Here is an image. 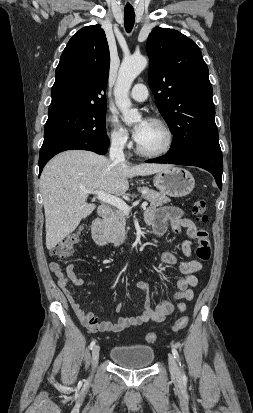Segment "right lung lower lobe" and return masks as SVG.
<instances>
[{"label":"right lung lower lobe","instance_id":"obj_1","mask_svg":"<svg viewBox=\"0 0 253 413\" xmlns=\"http://www.w3.org/2000/svg\"><path fill=\"white\" fill-rule=\"evenodd\" d=\"M109 139H100L93 141H81V140H65L59 141L48 146H44L40 150L39 155V174L42 172L45 164L56 154L71 149H80L93 151L98 154H105L109 147Z\"/></svg>","mask_w":253,"mask_h":413}]
</instances>
